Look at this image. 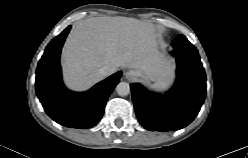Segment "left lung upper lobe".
I'll use <instances>...</instances> for the list:
<instances>
[{"label":"left lung upper lobe","instance_id":"1","mask_svg":"<svg viewBox=\"0 0 248 158\" xmlns=\"http://www.w3.org/2000/svg\"><path fill=\"white\" fill-rule=\"evenodd\" d=\"M175 40L178 41L179 43L182 41H188L186 37L183 35H179Z\"/></svg>","mask_w":248,"mask_h":158}]
</instances>
